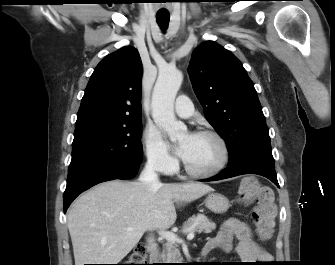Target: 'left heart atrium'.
<instances>
[{
    "instance_id": "obj_1",
    "label": "left heart atrium",
    "mask_w": 335,
    "mask_h": 265,
    "mask_svg": "<svg viewBox=\"0 0 335 265\" xmlns=\"http://www.w3.org/2000/svg\"><path fill=\"white\" fill-rule=\"evenodd\" d=\"M188 146L186 144H180L177 148L178 155L184 159L187 155Z\"/></svg>"
}]
</instances>
